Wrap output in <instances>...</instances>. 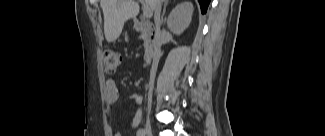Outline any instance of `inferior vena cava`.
I'll return each instance as SVG.
<instances>
[{
    "instance_id": "inferior-vena-cava-1",
    "label": "inferior vena cava",
    "mask_w": 325,
    "mask_h": 136,
    "mask_svg": "<svg viewBox=\"0 0 325 136\" xmlns=\"http://www.w3.org/2000/svg\"><path fill=\"white\" fill-rule=\"evenodd\" d=\"M153 10H154V21H155V25H156V29H157V33H158L160 25H161V19H160L161 2H160V0L155 1ZM160 46H161V43L159 40H157L154 45L153 64H152V68L150 71L149 93H148L149 96H151V94H152V89H153V85H154V79H155L156 67H157V63H158V54L160 51Z\"/></svg>"
}]
</instances>
